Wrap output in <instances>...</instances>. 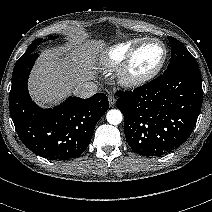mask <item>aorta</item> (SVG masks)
Returning a JSON list of instances; mask_svg holds the SVG:
<instances>
[{
	"label": "aorta",
	"mask_w": 212,
	"mask_h": 212,
	"mask_svg": "<svg viewBox=\"0 0 212 212\" xmlns=\"http://www.w3.org/2000/svg\"><path fill=\"white\" fill-rule=\"evenodd\" d=\"M106 119L111 125H118L122 122L123 115L118 109H111L107 112Z\"/></svg>",
	"instance_id": "762f6f07"
}]
</instances>
